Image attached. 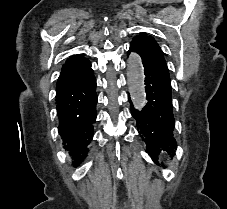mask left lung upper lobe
Masks as SVG:
<instances>
[{"mask_svg":"<svg viewBox=\"0 0 227 209\" xmlns=\"http://www.w3.org/2000/svg\"><path fill=\"white\" fill-rule=\"evenodd\" d=\"M130 46L135 49L142 60L154 64L169 75L163 52L152 36L141 33L133 38Z\"/></svg>","mask_w":227,"mask_h":209,"instance_id":"left-lung-upper-lobe-1","label":"left lung upper lobe"}]
</instances>
